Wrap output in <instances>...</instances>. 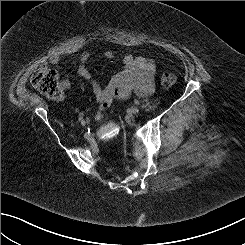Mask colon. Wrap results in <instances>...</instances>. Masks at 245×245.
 Instances as JSON below:
<instances>
[{
    "label": "colon",
    "instance_id": "5ec220e1",
    "mask_svg": "<svg viewBox=\"0 0 245 245\" xmlns=\"http://www.w3.org/2000/svg\"><path fill=\"white\" fill-rule=\"evenodd\" d=\"M30 82L36 90L49 98L59 99L62 97L57 74L51 68H39L32 74ZM160 82L163 87L170 88L176 83V76L170 71H165L161 74Z\"/></svg>",
    "mask_w": 245,
    "mask_h": 245
}]
</instances>
